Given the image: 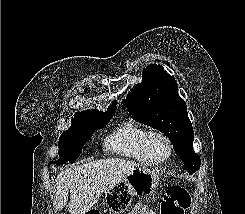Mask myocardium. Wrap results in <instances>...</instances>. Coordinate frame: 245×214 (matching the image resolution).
<instances>
[{
	"label": "myocardium",
	"mask_w": 245,
	"mask_h": 214,
	"mask_svg": "<svg viewBox=\"0 0 245 214\" xmlns=\"http://www.w3.org/2000/svg\"><path fill=\"white\" fill-rule=\"evenodd\" d=\"M153 137H159L161 138L167 145V148H168V154L165 158L161 159V160H153L150 156H149V153H148V144H149V141L151 138ZM141 148H142V152L146 158V160L148 161L149 164L151 165H159V164H163L165 163L172 155L173 153V145H172V142L171 140L169 139V137L160 132V131H148L143 139H142V143H141Z\"/></svg>",
	"instance_id": "f54148a6"
}]
</instances>
